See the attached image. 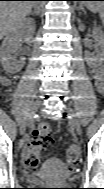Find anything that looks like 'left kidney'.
Masks as SVG:
<instances>
[{"mask_svg": "<svg viewBox=\"0 0 104 189\" xmlns=\"http://www.w3.org/2000/svg\"><path fill=\"white\" fill-rule=\"evenodd\" d=\"M93 33H94V36L98 40V44L102 47L103 46V32H102V30L99 29V28H95ZM86 61L90 65L100 64V63L103 62V53L101 52L97 56H91L90 54H88L86 56Z\"/></svg>", "mask_w": 104, "mask_h": 189, "instance_id": "5707ae66", "label": "left kidney"}]
</instances>
